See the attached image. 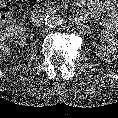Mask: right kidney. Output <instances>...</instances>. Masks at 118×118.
Instances as JSON below:
<instances>
[{
    "instance_id": "1",
    "label": "right kidney",
    "mask_w": 118,
    "mask_h": 118,
    "mask_svg": "<svg viewBox=\"0 0 118 118\" xmlns=\"http://www.w3.org/2000/svg\"><path fill=\"white\" fill-rule=\"evenodd\" d=\"M26 32L25 26L20 25H11L7 26L5 29L0 31V51L8 54L10 52V48L6 45L8 38L13 36H23Z\"/></svg>"
}]
</instances>
